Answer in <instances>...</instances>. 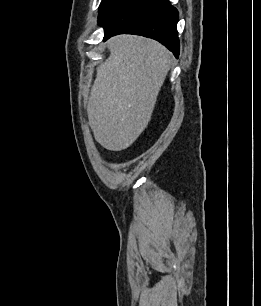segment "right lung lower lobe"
<instances>
[{
	"mask_svg": "<svg viewBox=\"0 0 261 306\" xmlns=\"http://www.w3.org/2000/svg\"><path fill=\"white\" fill-rule=\"evenodd\" d=\"M104 41L117 34L155 39L178 57V11L169 0H112L99 14Z\"/></svg>",
	"mask_w": 261,
	"mask_h": 306,
	"instance_id": "right-lung-lower-lobe-1",
	"label": "right lung lower lobe"
}]
</instances>
